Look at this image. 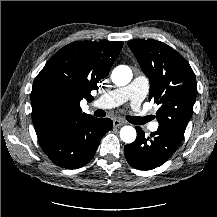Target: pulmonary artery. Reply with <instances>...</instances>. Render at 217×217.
<instances>
[{"mask_svg":"<svg viewBox=\"0 0 217 217\" xmlns=\"http://www.w3.org/2000/svg\"><path fill=\"white\" fill-rule=\"evenodd\" d=\"M148 89L149 83L147 78L142 75L137 76L129 85L112 90L100 96L93 105L101 109H111L125 102H129L134 110H138V107L145 98ZM158 128L159 124L157 122H152L149 125L150 131L155 132Z\"/></svg>","mask_w":217,"mask_h":217,"instance_id":"e3ab8cb5","label":"pulmonary artery"}]
</instances>
